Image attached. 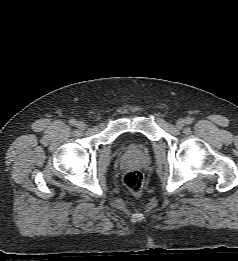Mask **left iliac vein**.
<instances>
[{
    "mask_svg": "<svg viewBox=\"0 0 238 261\" xmlns=\"http://www.w3.org/2000/svg\"><path fill=\"white\" fill-rule=\"evenodd\" d=\"M184 125H185V120H184V119H178V120L176 121V127H177L178 129H181Z\"/></svg>",
    "mask_w": 238,
    "mask_h": 261,
    "instance_id": "left-iliac-vein-1",
    "label": "left iliac vein"
}]
</instances>
